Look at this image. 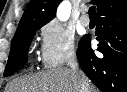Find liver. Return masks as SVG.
I'll list each match as a JSON object with an SVG mask.
<instances>
[{"mask_svg": "<svg viewBox=\"0 0 127 92\" xmlns=\"http://www.w3.org/2000/svg\"><path fill=\"white\" fill-rule=\"evenodd\" d=\"M82 80L86 81L88 92H98L83 72L68 68H55L16 78L7 85L5 92H80Z\"/></svg>", "mask_w": 127, "mask_h": 92, "instance_id": "6515ba94", "label": "liver"}]
</instances>
